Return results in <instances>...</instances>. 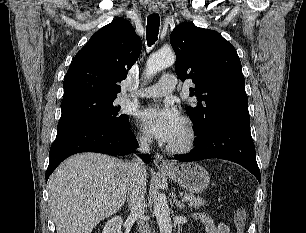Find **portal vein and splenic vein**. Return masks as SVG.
Wrapping results in <instances>:
<instances>
[{
	"instance_id": "1",
	"label": "portal vein and splenic vein",
	"mask_w": 306,
	"mask_h": 233,
	"mask_svg": "<svg viewBox=\"0 0 306 233\" xmlns=\"http://www.w3.org/2000/svg\"><path fill=\"white\" fill-rule=\"evenodd\" d=\"M182 201H183V202H186V201H188V198H187V197H184V198L182 199Z\"/></svg>"
}]
</instances>
